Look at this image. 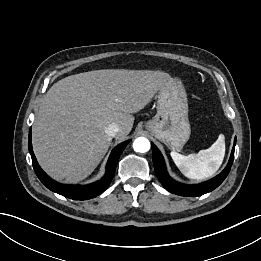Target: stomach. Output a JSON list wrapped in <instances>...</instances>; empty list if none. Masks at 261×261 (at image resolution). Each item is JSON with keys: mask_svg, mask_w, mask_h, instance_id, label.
<instances>
[{"mask_svg": "<svg viewBox=\"0 0 261 261\" xmlns=\"http://www.w3.org/2000/svg\"><path fill=\"white\" fill-rule=\"evenodd\" d=\"M145 128L171 150H180L190 137L188 103L185 89L173 80L159 90L157 113Z\"/></svg>", "mask_w": 261, "mask_h": 261, "instance_id": "stomach-1", "label": "stomach"}]
</instances>
